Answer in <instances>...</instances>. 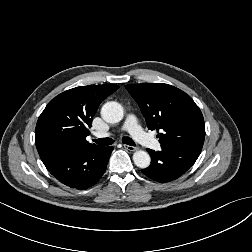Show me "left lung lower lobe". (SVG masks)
Wrapping results in <instances>:
<instances>
[{"instance_id":"1","label":"left lung lower lobe","mask_w":252,"mask_h":252,"mask_svg":"<svg viewBox=\"0 0 252 252\" xmlns=\"http://www.w3.org/2000/svg\"><path fill=\"white\" fill-rule=\"evenodd\" d=\"M151 165L142 172L157 182H170L183 175L197 160L200 152L187 148L162 147L161 151L147 149Z\"/></svg>"}]
</instances>
